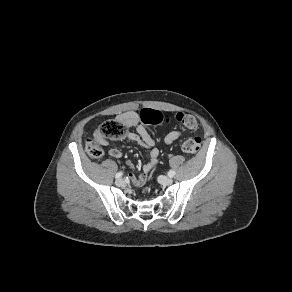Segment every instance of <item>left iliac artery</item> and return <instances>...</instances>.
I'll list each match as a JSON object with an SVG mask.
<instances>
[{
    "instance_id": "1",
    "label": "left iliac artery",
    "mask_w": 292,
    "mask_h": 292,
    "mask_svg": "<svg viewBox=\"0 0 292 292\" xmlns=\"http://www.w3.org/2000/svg\"><path fill=\"white\" fill-rule=\"evenodd\" d=\"M169 177H173L175 175V171L174 170H170L168 172Z\"/></svg>"
}]
</instances>
